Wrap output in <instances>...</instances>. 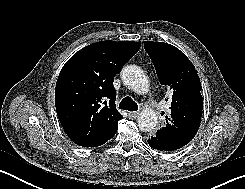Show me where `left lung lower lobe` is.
<instances>
[{
    "instance_id": "0a47b994",
    "label": "left lung lower lobe",
    "mask_w": 245,
    "mask_h": 189,
    "mask_svg": "<svg viewBox=\"0 0 245 189\" xmlns=\"http://www.w3.org/2000/svg\"><path fill=\"white\" fill-rule=\"evenodd\" d=\"M148 144L151 148L159 150V151H173L169 146H166L164 143L160 142L154 136H151L148 139Z\"/></svg>"
}]
</instances>
